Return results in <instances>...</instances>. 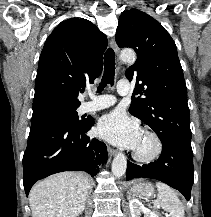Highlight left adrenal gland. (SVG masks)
I'll return each instance as SVG.
<instances>
[{"label": "left adrenal gland", "mask_w": 211, "mask_h": 217, "mask_svg": "<svg viewBox=\"0 0 211 217\" xmlns=\"http://www.w3.org/2000/svg\"><path fill=\"white\" fill-rule=\"evenodd\" d=\"M131 197H134V195H132V193L128 191V199H130Z\"/></svg>", "instance_id": "a2214340"}]
</instances>
